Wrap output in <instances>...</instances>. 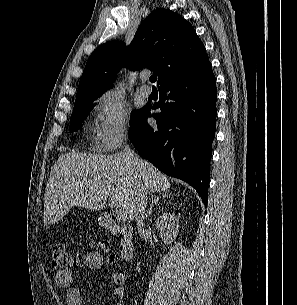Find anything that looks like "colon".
<instances>
[{"mask_svg":"<svg viewBox=\"0 0 297 305\" xmlns=\"http://www.w3.org/2000/svg\"><path fill=\"white\" fill-rule=\"evenodd\" d=\"M79 260V255L71 252L64 242H56L52 248L53 267L58 270H66L73 267Z\"/></svg>","mask_w":297,"mask_h":305,"instance_id":"1","label":"colon"}]
</instances>
